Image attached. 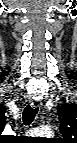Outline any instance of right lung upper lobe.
<instances>
[{
    "mask_svg": "<svg viewBox=\"0 0 77 143\" xmlns=\"http://www.w3.org/2000/svg\"><path fill=\"white\" fill-rule=\"evenodd\" d=\"M4 114H5V107L0 106V125H1V127L5 126L6 116Z\"/></svg>",
    "mask_w": 77,
    "mask_h": 143,
    "instance_id": "cb5924a9",
    "label": "right lung upper lobe"
}]
</instances>
